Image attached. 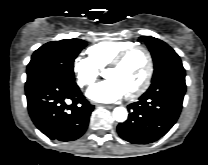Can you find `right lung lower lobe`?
I'll return each mask as SVG.
<instances>
[{
	"instance_id": "1",
	"label": "right lung lower lobe",
	"mask_w": 208,
	"mask_h": 165,
	"mask_svg": "<svg viewBox=\"0 0 208 165\" xmlns=\"http://www.w3.org/2000/svg\"><path fill=\"white\" fill-rule=\"evenodd\" d=\"M25 94L32 121L51 140L73 141L85 133L94 106L75 81L42 76L26 83Z\"/></svg>"
}]
</instances>
